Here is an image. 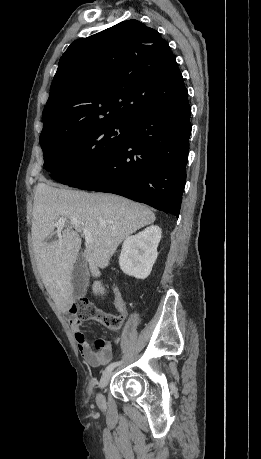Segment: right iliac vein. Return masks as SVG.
I'll list each match as a JSON object with an SVG mask.
<instances>
[{
    "label": "right iliac vein",
    "mask_w": 261,
    "mask_h": 459,
    "mask_svg": "<svg viewBox=\"0 0 261 459\" xmlns=\"http://www.w3.org/2000/svg\"><path fill=\"white\" fill-rule=\"evenodd\" d=\"M112 374H113L112 371H105L102 374L100 382H99V389L100 390L104 389L108 385V383H109V381H110V379L112 377ZM96 401H97V404L100 407H104L105 406V398H104V395L101 392H99L97 394Z\"/></svg>",
    "instance_id": "1"
}]
</instances>
